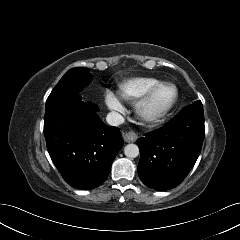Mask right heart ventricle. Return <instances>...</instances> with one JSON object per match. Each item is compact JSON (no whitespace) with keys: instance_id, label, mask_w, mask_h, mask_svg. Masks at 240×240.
<instances>
[{"instance_id":"right-heart-ventricle-1","label":"right heart ventricle","mask_w":240,"mask_h":240,"mask_svg":"<svg viewBox=\"0 0 240 240\" xmlns=\"http://www.w3.org/2000/svg\"><path fill=\"white\" fill-rule=\"evenodd\" d=\"M162 80L155 77H135L123 81L118 87V95L127 102H135L151 87Z\"/></svg>"}]
</instances>
